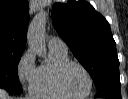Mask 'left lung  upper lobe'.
I'll return each instance as SVG.
<instances>
[{
	"label": "left lung upper lobe",
	"mask_w": 128,
	"mask_h": 99,
	"mask_svg": "<svg viewBox=\"0 0 128 99\" xmlns=\"http://www.w3.org/2000/svg\"><path fill=\"white\" fill-rule=\"evenodd\" d=\"M52 20L60 37L89 72L97 90L109 81H119L116 44L107 20L86 1L55 3Z\"/></svg>",
	"instance_id": "left-lung-upper-lobe-1"
}]
</instances>
